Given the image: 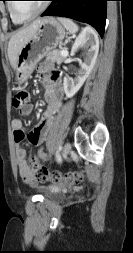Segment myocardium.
Returning a JSON list of instances; mask_svg holds the SVG:
<instances>
[{
    "label": "myocardium",
    "mask_w": 133,
    "mask_h": 253,
    "mask_svg": "<svg viewBox=\"0 0 133 253\" xmlns=\"http://www.w3.org/2000/svg\"><path fill=\"white\" fill-rule=\"evenodd\" d=\"M47 7H48V2L45 1L43 3V5L38 9V11H36L33 15L26 17V18H20V17H18V15L16 14V12L13 8V2H9V4H8L10 15L13 18V20L17 23H26V22L33 20L34 18H36L40 14H42L47 9Z\"/></svg>",
    "instance_id": "1"
}]
</instances>
